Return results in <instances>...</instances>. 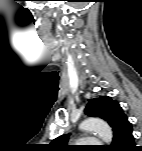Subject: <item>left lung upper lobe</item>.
Listing matches in <instances>:
<instances>
[{
    "mask_svg": "<svg viewBox=\"0 0 142 151\" xmlns=\"http://www.w3.org/2000/svg\"><path fill=\"white\" fill-rule=\"evenodd\" d=\"M85 113L88 116L102 118L112 127L114 136L112 144L115 143L122 133L131 128V123L128 121L119 103L108 96L88 99ZM68 137V135L59 136L50 145L55 150H67L68 145L65 144L68 142Z\"/></svg>",
    "mask_w": 142,
    "mask_h": 151,
    "instance_id": "left-lung-upper-lobe-1",
    "label": "left lung upper lobe"
}]
</instances>
